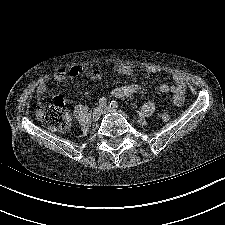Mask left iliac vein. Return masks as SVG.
Here are the masks:
<instances>
[{
  "label": "left iliac vein",
  "instance_id": "obj_1",
  "mask_svg": "<svg viewBox=\"0 0 225 225\" xmlns=\"http://www.w3.org/2000/svg\"><path fill=\"white\" fill-rule=\"evenodd\" d=\"M102 111L103 113H108V112H118V113H123V111L121 109H117V108H112L109 106H102Z\"/></svg>",
  "mask_w": 225,
  "mask_h": 225
}]
</instances>
